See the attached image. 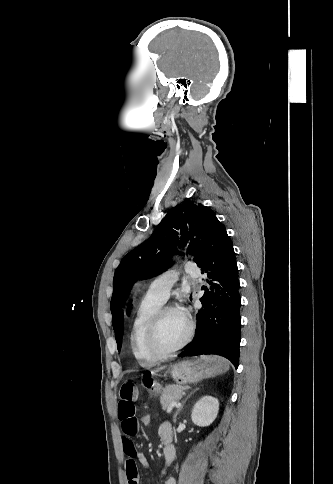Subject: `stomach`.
Instances as JSON below:
<instances>
[{"mask_svg":"<svg viewBox=\"0 0 333 484\" xmlns=\"http://www.w3.org/2000/svg\"><path fill=\"white\" fill-rule=\"evenodd\" d=\"M228 368L225 359L212 356H202L200 358L183 360L169 367V373L173 380L179 385L197 383L205 378L215 377L223 373ZM157 376L156 371H150V376L144 379L143 386L151 394L161 392V385L154 380Z\"/></svg>","mask_w":333,"mask_h":484,"instance_id":"stomach-1","label":"stomach"}]
</instances>
